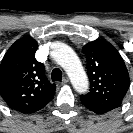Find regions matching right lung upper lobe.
<instances>
[{
    "label": "right lung upper lobe",
    "instance_id": "right-lung-upper-lobe-1",
    "mask_svg": "<svg viewBox=\"0 0 133 133\" xmlns=\"http://www.w3.org/2000/svg\"><path fill=\"white\" fill-rule=\"evenodd\" d=\"M37 47L35 39L25 36L8 49L0 65V95L11 109L25 114L39 111L55 94L56 85L35 59Z\"/></svg>",
    "mask_w": 133,
    "mask_h": 133
}]
</instances>
